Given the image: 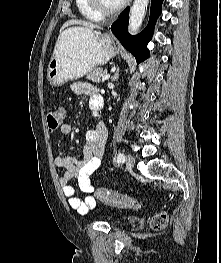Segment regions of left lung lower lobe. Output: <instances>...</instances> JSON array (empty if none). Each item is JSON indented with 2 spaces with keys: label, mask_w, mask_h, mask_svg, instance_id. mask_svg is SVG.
<instances>
[{
  "label": "left lung lower lobe",
  "mask_w": 221,
  "mask_h": 263,
  "mask_svg": "<svg viewBox=\"0 0 221 263\" xmlns=\"http://www.w3.org/2000/svg\"><path fill=\"white\" fill-rule=\"evenodd\" d=\"M162 2L163 0H151L148 26L136 36H131L128 33L129 7L123 11L121 17L110 27V30L119 39L121 44L135 56L138 64L149 56L147 44L152 38L154 25L161 14Z\"/></svg>",
  "instance_id": "left-lung-lower-lobe-1"
}]
</instances>
